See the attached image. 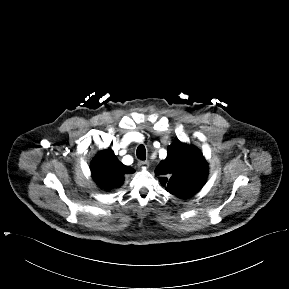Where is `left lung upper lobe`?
I'll list each match as a JSON object with an SVG mask.
<instances>
[{
	"label": "left lung upper lobe",
	"mask_w": 289,
	"mask_h": 289,
	"mask_svg": "<svg viewBox=\"0 0 289 289\" xmlns=\"http://www.w3.org/2000/svg\"><path fill=\"white\" fill-rule=\"evenodd\" d=\"M166 190L179 198L197 193L206 182L208 166L199 149L176 141L155 170Z\"/></svg>",
	"instance_id": "5c2ea615"
}]
</instances>
